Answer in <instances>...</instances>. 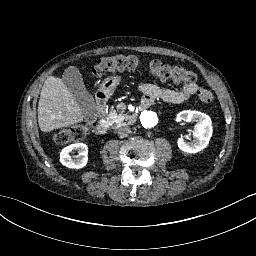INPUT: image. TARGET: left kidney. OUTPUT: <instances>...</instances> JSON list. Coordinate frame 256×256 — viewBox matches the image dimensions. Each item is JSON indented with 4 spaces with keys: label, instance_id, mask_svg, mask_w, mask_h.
Segmentation results:
<instances>
[{
    "label": "left kidney",
    "instance_id": "obj_1",
    "mask_svg": "<svg viewBox=\"0 0 256 256\" xmlns=\"http://www.w3.org/2000/svg\"><path fill=\"white\" fill-rule=\"evenodd\" d=\"M176 119L185 122H196L193 137L191 142L185 141L182 137L178 138V147L186 153H197L209 143L212 136V121L211 118L199 111L184 110L177 114Z\"/></svg>",
    "mask_w": 256,
    "mask_h": 256
}]
</instances>
